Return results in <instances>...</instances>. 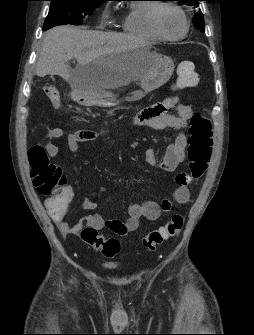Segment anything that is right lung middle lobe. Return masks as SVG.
<instances>
[{
    "instance_id": "dd1d6c3e",
    "label": "right lung middle lobe",
    "mask_w": 254,
    "mask_h": 335,
    "mask_svg": "<svg viewBox=\"0 0 254 335\" xmlns=\"http://www.w3.org/2000/svg\"><path fill=\"white\" fill-rule=\"evenodd\" d=\"M51 6L44 22L43 30L63 24L80 25L87 15H91L101 0H50Z\"/></svg>"
}]
</instances>
